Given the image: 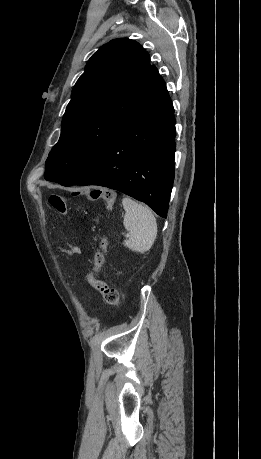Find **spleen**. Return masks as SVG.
I'll use <instances>...</instances> for the list:
<instances>
[{
	"label": "spleen",
	"instance_id": "1",
	"mask_svg": "<svg viewBox=\"0 0 261 459\" xmlns=\"http://www.w3.org/2000/svg\"><path fill=\"white\" fill-rule=\"evenodd\" d=\"M125 210L124 227L130 232V237L124 241V246L132 251L145 253L157 237V222L152 211L146 206L129 197L122 199Z\"/></svg>",
	"mask_w": 261,
	"mask_h": 459
}]
</instances>
